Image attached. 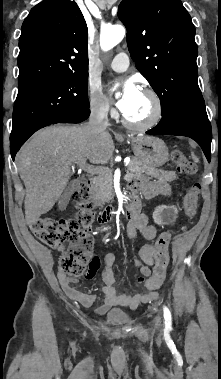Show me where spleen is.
I'll list each match as a JSON object with an SVG mask.
<instances>
[{
	"label": "spleen",
	"mask_w": 221,
	"mask_h": 379,
	"mask_svg": "<svg viewBox=\"0 0 221 379\" xmlns=\"http://www.w3.org/2000/svg\"><path fill=\"white\" fill-rule=\"evenodd\" d=\"M193 159H194L196 162H198V159H197L195 156H193Z\"/></svg>",
	"instance_id": "obj_1"
}]
</instances>
